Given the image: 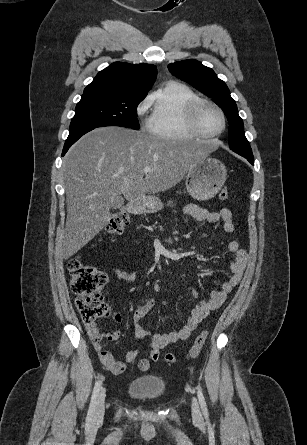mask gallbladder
<instances>
[{"mask_svg":"<svg viewBox=\"0 0 307 445\" xmlns=\"http://www.w3.org/2000/svg\"><path fill=\"white\" fill-rule=\"evenodd\" d=\"M124 204V198L123 196H115L114 200H112L110 205L111 211H116L118 208H120Z\"/></svg>","mask_w":307,"mask_h":445,"instance_id":"1","label":"gallbladder"}]
</instances>
